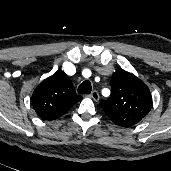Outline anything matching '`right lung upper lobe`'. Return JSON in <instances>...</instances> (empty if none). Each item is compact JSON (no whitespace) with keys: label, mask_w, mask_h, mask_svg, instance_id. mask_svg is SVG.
<instances>
[{"label":"right lung upper lobe","mask_w":171,"mask_h":171,"mask_svg":"<svg viewBox=\"0 0 171 171\" xmlns=\"http://www.w3.org/2000/svg\"><path fill=\"white\" fill-rule=\"evenodd\" d=\"M81 99L75 93L69 77L62 70H58L36 87L31 102L40 118L54 120Z\"/></svg>","instance_id":"cb5924a9"}]
</instances>
